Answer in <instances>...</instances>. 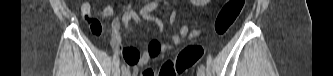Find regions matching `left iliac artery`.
I'll return each instance as SVG.
<instances>
[{
	"instance_id": "44dca946",
	"label": "left iliac artery",
	"mask_w": 333,
	"mask_h": 76,
	"mask_svg": "<svg viewBox=\"0 0 333 76\" xmlns=\"http://www.w3.org/2000/svg\"><path fill=\"white\" fill-rule=\"evenodd\" d=\"M199 70L204 71L205 70V66L204 65H200Z\"/></svg>"
}]
</instances>
